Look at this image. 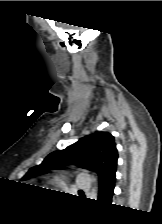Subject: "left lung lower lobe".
Here are the masks:
<instances>
[{"instance_id":"left-lung-lower-lobe-1","label":"left lung lower lobe","mask_w":162,"mask_h":224,"mask_svg":"<svg viewBox=\"0 0 162 224\" xmlns=\"http://www.w3.org/2000/svg\"><path fill=\"white\" fill-rule=\"evenodd\" d=\"M115 173L112 172L99 186L98 200L100 202L111 204V199L115 187Z\"/></svg>"}]
</instances>
